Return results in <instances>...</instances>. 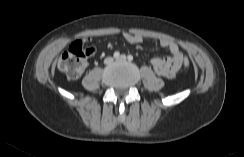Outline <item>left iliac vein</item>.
<instances>
[{
  "instance_id": "left-iliac-vein-1",
  "label": "left iliac vein",
  "mask_w": 244,
  "mask_h": 157,
  "mask_svg": "<svg viewBox=\"0 0 244 157\" xmlns=\"http://www.w3.org/2000/svg\"><path fill=\"white\" fill-rule=\"evenodd\" d=\"M116 60H119V61H126L127 58H126L125 55H121V56H119L118 58H116Z\"/></svg>"
}]
</instances>
